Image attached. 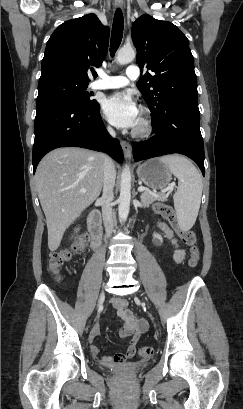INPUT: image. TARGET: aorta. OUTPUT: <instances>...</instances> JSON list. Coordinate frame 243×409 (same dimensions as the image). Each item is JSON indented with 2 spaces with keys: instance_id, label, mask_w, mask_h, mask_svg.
Masks as SVG:
<instances>
[{
  "instance_id": "1",
  "label": "aorta",
  "mask_w": 243,
  "mask_h": 409,
  "mask_svg": "<svg viewBox=\"0 0 243 409\" xmlns=\"http://www.w3.org/2000/svg\"><path fill=\"white\" fill-rule=\"evenodd\" d=\"M136 52L132 47H123L117 54V62L121 65L128 64L134 60ZM131 200V172L126 165L121 174L120 196L118 199V214L125 221L129 214Z\"/></svg>"
}]
</instances>
